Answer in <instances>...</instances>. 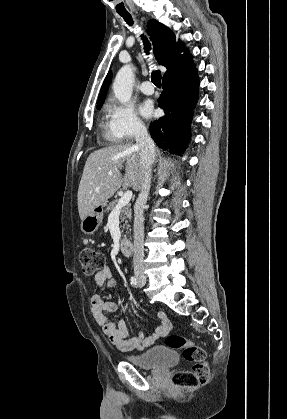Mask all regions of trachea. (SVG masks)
<instances>
[{
  "label": "trachea",
  "instance_id": "trachea-1",
  "mask_svg": "<svg viewBox=\"0 0 287 419\" xmlns=\"http://www.w3.org/2000/svg\"><path fill=\"white\" fill-rule=\"evenodd\" d=\"M124 20L131 26L133 24V20L131 15L129 14H121ZM144 42V49L145 52L148 53L150 51V43L147 41L146 38H143ZM151 80L153 84L157 87H161V72L159 70L153 71L151 75Z\"/></svg>",
  "mask_w": 287,
  "mask_h": 419
}]
</instances>
